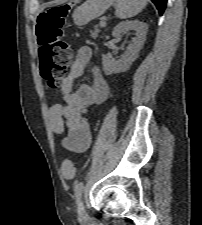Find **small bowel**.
<instances>
[{"instance_id": "obj_1", "label": "small bowel", "mask_w": 202, "mask_h": 225, "mask_svg": "<svg viewBox=\"0 0 202 225\" xmlns=\"http://www.w3.org/2000/svg\"><path fill=\"white\" fill-rule=\"evenodd\" d=\"M92 59V49L82 46L77 50L69 74L61 83V99L65 102L50 107L48 118L54 134L66 133L64 146L75 153L86 152L92 143L90 125L85 117L91 105L101 104L109 95V84L97 67L91 69L92 85L80 84L73 90L74 81L82 77Z\"/></svg>"}]
</instances>
